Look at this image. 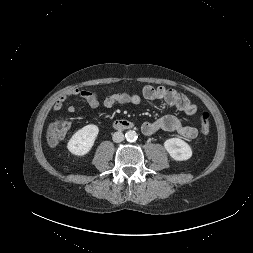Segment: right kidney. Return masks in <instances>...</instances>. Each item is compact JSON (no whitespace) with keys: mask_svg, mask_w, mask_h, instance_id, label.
I'll return each instance as SVG.
<instances>
[{"mask_svg":"<svg viewBox=\"0 0 253 253\" xmlns=\"http://www.w3.org/2000/svg\"><path fill=\"white\" fill-rule=\"evenodd\" d=\"M99 133L98 126L89 124L78 130L67 144L68 150L77 156L86 155L94 145Z\"/></svg>","mask_w":253,"mask_h":253,"instance_id":"ca27d5eb","label":"right kidney"}]
</instances>
